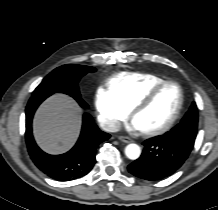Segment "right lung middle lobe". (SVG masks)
Returning a JSON list of instances; mask_svg holds the SVG:
<instances>
[{"label": "right lung middle lobe", "instance_id": "right-lung-middle-lobe-1", "mask_svg": "<svg viewBox=\"0 0 218 210\" xmlns=\"http://www.w3.org/2000/svg\"><path fill=\"white\" fill-rule=\"evenodd\" d=\"M95 71L94 67L84 65L67 64L60 66L43 79L32 96L62 92L79 99L81 98L78 88L80 78L89 72Z\"/></svg>", "mask_w": 218, "mask_h": 210}]
</instances>
